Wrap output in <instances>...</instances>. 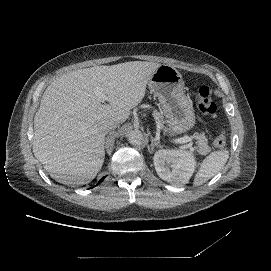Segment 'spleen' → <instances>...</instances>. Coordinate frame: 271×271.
<instances>
[{"instance_id": "obj_1", "label": "spleen", "mask_w": 271, "mask_h": 271, "mask_svg": "<svg viewBox=\"0 0 271 271\" xmlns=\"http://www.w3.org/2000/svg\"><path fill=\"white\" fill-rule=\"evenodd\" d=\"M229 158L227 150L214 151L207 156L200 164L199 171L197 172L194 185L200 186L208 181L211 177L216 175L226 164Z\"/></svg>"}]
</instances>
